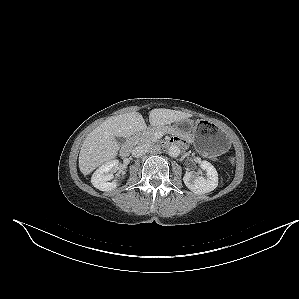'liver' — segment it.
Instances as JSON below:
<instances>
[{
    "mask_svg": "<svg viewBox=\"0 0 299 299\" xmlns=\"http://www.w3.org/2000/svg\"><path fill=\"white\" fill-rule=\"evenodd\" d=\"M192 114L171 109H153L149 114L151 126L179 122ZM146 123L139 112H130L110 117L91 131L83 141L79 154V169L83 175L90 174L98 166L114 159L119 151L116 137L127 138L144 131Z\"/></svg>",
    "mask_w": 299,
    "mask_h": 299,
    "instance_id": "obj_1",
    "label": "liver"
}]
</instances>
